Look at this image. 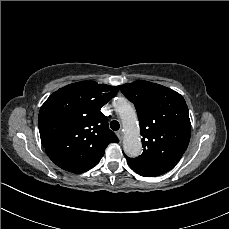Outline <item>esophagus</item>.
Here are the masks:
<instances>
[{
	"instance_id": "esophagus-1",
	"label": "esophagus",
	"mask_w": 229,
	"mask_h": 229,
	"mask_svg": "<svg viewBox=\"0 0 229 229\" xmlns=\"http://www.w3.org/2000/svg\"><path fill=\"white\" fill-rule=\"evenodd\" d=\"M116 135L118 136L119 140L122 141V139H123V131L122 130L117 131Z\"/></svg>"
}]
</instances>
